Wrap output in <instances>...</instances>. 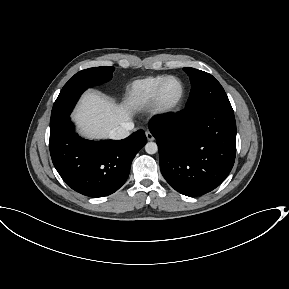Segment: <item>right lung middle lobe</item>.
Wrapping results in <instances>:
<instances>
[{
	"label": "right lung middle lobe",
	"instance_id": "right-lung-middle-lobe-1",
	"mask_svg": "<svg viewBox=\"0 0 289 289\" xmlns=\"http://www.w3.org/2000/svg\"><path fill=\"white\" fill-rule=\"evenodd\" d=\"M114 67H94L79 71L62 88L51 112L50 128L69 117L80 95L112 78Z\"/></svg>",
	"mask_w": 289,
	"mask_h": 289
}]
</instances>
